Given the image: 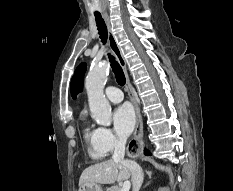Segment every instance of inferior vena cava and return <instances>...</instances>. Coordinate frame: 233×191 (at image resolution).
Here are the masks:
<instances>
[{
    "label": "inferior vena cava",
    "mask_w": 233,
    "mask_h": 191,
    "mask_svg": "<svg viewBox=\"0 0 233 191\" xmlns=\"http://www.w3.org/2000/svg\"><path fill=\"white\" fill-rule=\"evenodd\" d=\"M125 145L126 138L119 137L115 142V149L112 158L115 162H120L130 169L132 175L131 180L133 184V191H139L143 183L144 174L142 168L135 161L124 160Z\"/></svg>",
    "instance_id": "1"
}]
</instances>
